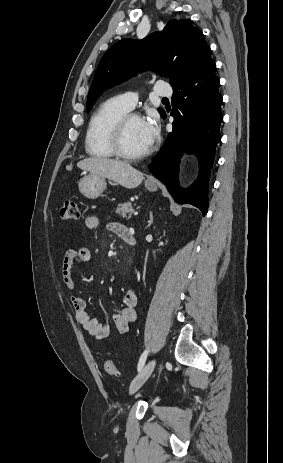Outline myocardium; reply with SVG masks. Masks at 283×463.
<instances>
[{
	"label": "myocardium",
	"mask_w": 283,
	"mask_h": 463,
	"mask_svg": "<svg viewBox=\"0 0 283 463\" xmlns=\"http://www.w3.org/2000/svg\"><path fill=\"white\" fill-rule=\"evenodd\" d=\"M140 119L142 120V117L137 114V113H131L128 112L124 115H122L116 123L113 125L109 137V144L111 147L112 152L114 153L115 156L123 159V160H128V161H136V160H141L149 156L152 152V149L149 148L148 150L139 153V154H131L128 153L124 148H123V135L124 131L126 128L127 123L131 119Z\"/></svg>",
	"instance_id": "f54148a6"
}]
</instances>
